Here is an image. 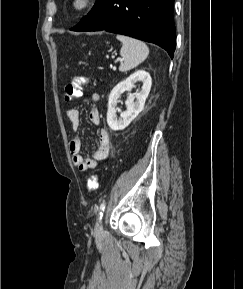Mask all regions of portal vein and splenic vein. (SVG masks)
Masks as SVG:
<instances>
[{"instance_id":"obj_1","label":"portal vein and splenic vein","mask_w":243,"mask_h":289,"mask_svg":"<svg viewBox=\"0 0 243 289\" xmlns=\"http://www.w3.org/2000/svg\"><path fill=\"white\" fill-rule=\"evenodd\" d=\"M116 61H120V62H122V61H123V59H118V60H116Z\"/></svg>"}]
</instances>
